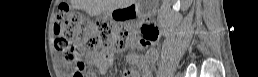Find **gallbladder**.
Instances as JSON below:
<instances>
[{
  "label": "gallbladder",
  "mask_w": 258,
  "mask_h": 77,
  "mask_svg": "<svg viewBox=\"0 0 258 77\" xmlns=\"http://www.w3.org/2000/svg\"><path fill=\"white\" fill-rule=\"evenodd\" d=\"M148 1H144L143 3H141L140 7H139V11L140 12H147L149 11L151 8L148 6L147 4Z\"/></svg>",
  "instance_id": "gallbladder-1"
}]
</instances>
